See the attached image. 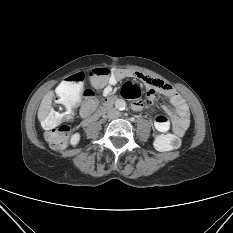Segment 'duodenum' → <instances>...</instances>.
Instances as JSON below:
<instances>
[{
	"instance_id": "410a0bca",
	"label": "duodenum",
	"mask_w": 233,
	"mask_h": 233,
	"mask_svg": "<svg viewBox=\"0 0 233 233\" xmlns=\"http://www.w3.org/2000/svg\"><path fill=\"white\" fill-rule=\"evenodd\" d=\"M113 99L112 98H107L104 103L102 104V106L100 107V109L96 112L95 115H93L91 118L88 119V121H90L91 119L96 118L97 116H99L100 114H102L103 112L107 111L111 105H112Z\"/></svg>"
}]
</instances>
